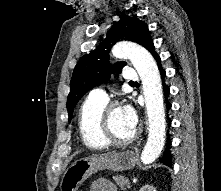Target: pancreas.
I'll use <instances>...</instances> for the list:
<instances>
[{"label": "pancreas", "instance_id": "pancreas-1", "mask_svg": "<svg viewBox=\"0 0 221 191\" xmlns=\"http://www.w3.org/2000/svg\"><path fill=\"white\" fill-rule=\"evenodd\" d=\"M113 180L122 190H125V186L129 184V179L122 175L113 176Z\"/></svg>", "mask_w": 221, "mask_h": 191}]
</instances>
